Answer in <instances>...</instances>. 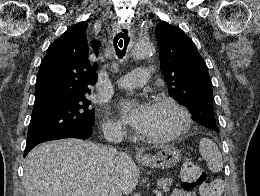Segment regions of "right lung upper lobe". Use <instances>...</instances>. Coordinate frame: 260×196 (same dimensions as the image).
<instances>
[{
    "mask_svg": "<svg viewBox=\"0 0 260 196\" xmlns=\"http://www.w3.org/2000/svg\"><path fill=\"white\" fill-rule=\"evenodd\" d=\"M88 23L72 25L48 48L40 65L35 85V105L54 97L89 93L97 81V63L89 59L91 46L97 54L100 43L89 41Z\"/></svg>",
    "mask_w": 260,
    "mask_h": 196,
    "instance_id": "right-lung-upper-lobe-1",
    "label": "right lung upper lobe"
}]
</instances>
